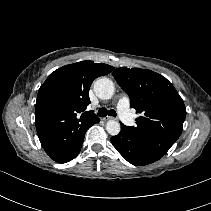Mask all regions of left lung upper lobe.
Returning <instances> with one entry per match:
<instances>
[{"label": "left lung upper lobe", "instance_id": "left-lung-upper-lobe-1", "mask_svg": "<svg viewBox=\"0 0 211 211\" xmlns=\"http://www.w3.org/2000/svg\"><path fill=\"white\" fill-rule=\"evenodd\" d=\"M112 75L128 94L131 107L142 116L129 127L161 157L179 138L186 109L174 86L162 75L147 69H116Z\"/></svg>", "mask_w": 211, "mask_h": 211}]
</instances>
